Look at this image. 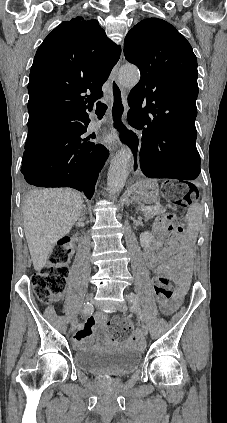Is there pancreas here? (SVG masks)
Wrapping results in <instances>:
<instances>
[{"instance_id":"obj_1","label":"pancreas","mask_w":227,"mask_h":423,"mask_svg":"<svg viewBox=\"0 0 227 423\" xmlns=\"http://www.w3.org/2000/svg\"><path fill=\"white\" fill-rule=\"evenodd\" d=\"M161 211H163V208H158V210L148 211L146 215H156V213H161Z\"/></svg>"}]
</instances>
